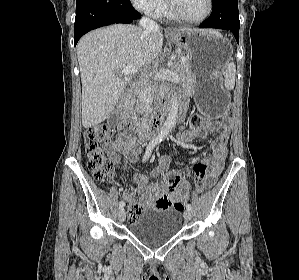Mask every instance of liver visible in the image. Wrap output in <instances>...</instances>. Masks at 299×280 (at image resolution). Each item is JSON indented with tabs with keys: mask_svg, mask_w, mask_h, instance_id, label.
<instances>
[{
	"mask_svg": "<svg viewBox=\"0 0 299 280\" xmlns=\"http://www.w3.org/2000/svg\"><path fill=\"white\" fill-rule=\"evenodd\" d=\"M182 32L192 31L180 28ZM163 35L157 28L115 24L91 31L77 45L82 83V125L91 128L105 121L127 84L129 77L118 71L133 67L147 71L162 49Z\"/></svg>",
	"mask_w": 299,
	"mask_h": 280,
	"instance_id": "liver-1",
	"label": "liver"
}]
</instances>
